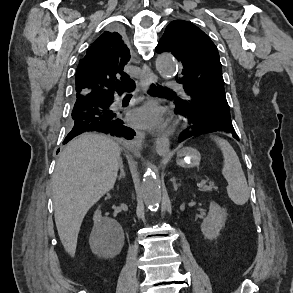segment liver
<instances>
[{
    "label": "liver",
    "instance_id": "6515ba94",
    "mask_svg": "<svg viewBox=\"0 0 293 293\" xmlns=\"http://www.w3.org/2000/svg\"><path fill=\"white\" fill-rule=\"evenodd\" d=\"M121 148L101 134L85 133L61 152L52 177L55 223L60 240L74 256L88 210L115 184Z\"/></svg>",
    "mask_w": 293,
    "mask_h": 293
}]
</instances>
